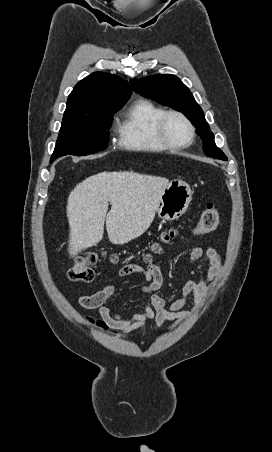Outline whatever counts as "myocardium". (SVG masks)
I'll return each instance as SVG.
<instances>
[{
  "label": "myocardium",
  "instance_id": "f54148a6",
  "mask_svg": "<svg viewBox=\"0 0 272 452\" xmlns=\"http://www.w3.org/2000/svg\"><path fill=\"white\" fill-rule=\"evenodd\" d=\"M178 117L180 118L187 126L189 131V139L187 142L184 143H176L174 142L167 133V120L170 117ZM157 133L161 141L169 148L171 149H182L190 146L195 138V127L193 123L190 121V119L182 112L177 110H166L164 113L160 116L158 122H157Z\"/></svg>",
  "mask_w": 272,
  "mask_h": 452
}]
</instances>
